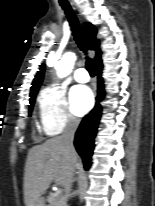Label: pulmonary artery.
I'll return each mask as SVG.
<instances>
[{
	"instance_id": "obj_1",
	"label": "pulmonary artery",
	"mask_w": 155,
	"mask_h": 206,
	"mask_svg": "<svg viewBox=\"0 0 155 206\" xmlns=\"http://www.w3.org/2000/svg\"><path fill=\"white\" fill-rule=\"evenodd\" d=\"M74 78L79 83H86L89 81V74L85 68L81 67L75 71Z\"/></svg>"
}]
</instances>
